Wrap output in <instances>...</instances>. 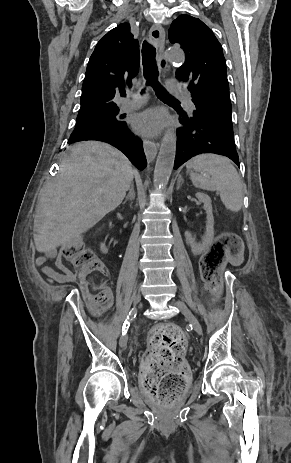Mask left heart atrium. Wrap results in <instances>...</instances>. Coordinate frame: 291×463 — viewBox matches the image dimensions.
I'll list each match as a JSON object with an SVG mask.
<instances>
[{
	"mask_svg": "<svg viewBox=\"0 0 291 463\" xmlns=\"http://www.w3.org/2000/svg\"><path fill=\"white\" fill-rule=\"evenodd\" d=\"M133 125L138 133L155 136L165 125V115L158 109H148L135 117Z\"/></svg>",
	"mask_w": 291,
	"mask_h": 463,
	"instance_id": "1",
	"label": "left heart atrium"
}]
</instances>
